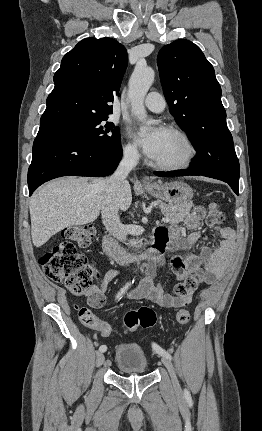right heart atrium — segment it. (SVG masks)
Returning <instances> with one entry per match:
<instances>
[{"label": "right heart atrium", "instance_id": "obj_1", "mask_svg": "<svg viewBox=\"0 0 262 431\" xmlns=\"http://www.w3.org/2000/svg\"><path fill=\"white\" fill-rule=\"evenodd\" d=\"M123 153L127 158L134 159L138 157V150L133 142H127L124 145Z\"/></svg>", "mask_w": 262, "mask_h": 431}]
</instances>
